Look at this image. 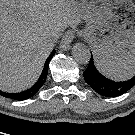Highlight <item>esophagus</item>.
I'll use <instances>...</instances> for the list:
<instances>
[{"instance_id":"esophagus-1","label":"esophagus","mask_w":135,"mask_h":135,"mask_svg":"<svg viewBox=\"0 0 135 135\" xmlns=\"http://www.w3.org/2000/svg\"><path fill=\"white\" fill-rule=\"evenodd\" d=\"M75 37V32L73 30H68L62 37L59 47L67 51L70 49V44Z\"/></svg>"}]
</instances>
